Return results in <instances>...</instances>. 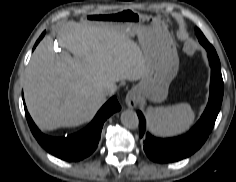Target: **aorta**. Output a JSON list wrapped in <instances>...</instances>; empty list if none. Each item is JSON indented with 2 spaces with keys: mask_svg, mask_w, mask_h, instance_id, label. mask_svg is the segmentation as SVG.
<instances>
[{
  "mask_svg": "<svg viewBox=\"0 0 236 182\" xmlns=\"http://www.w3.org/2000/svg\"><path fill=\"white\" fill-rule=\"evenodd\" d=\"M121 123L129 129H137L139 126V118L135 111L125 110L121 114Z\"/></svg>",
  "mask_w": 236,
  "mask_h": 182,
  "instance_id": "obj_1",
  "label": "aorta"
}]
</instances>
